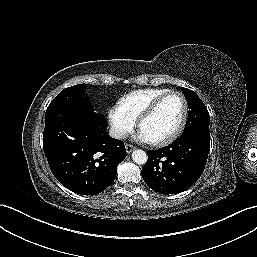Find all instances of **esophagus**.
Here are the masks:
<instances>
[{
  "mask_svg": "<svg viewBox=\"0 0 257 257\" xmlns=\"http://www.w3.org/2000/svg\"><path fill=\"white\" fill-rule=\"evenodd\" d=\"M125 148H126V152L128 154H130L135 149V147L133 145H131V144H126Z\"/></svg>",
  "mask_w": 257,
  "mask_h": 257,
  "instance_id": "esophagus-1",
  "label": "esophagus"
}]
</instances>
